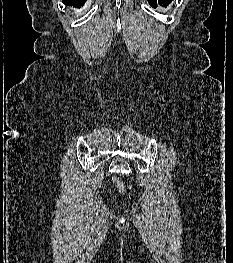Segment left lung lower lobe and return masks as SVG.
<instances>
[{
  "instance_id": "0a47b994",
  "label": "left lung lower lobe",
  "mask_w": 233,
  "mask_h": 263,
  "mask_svg": "<svg viewBox=\"0 0 233 263\" xmlns=\"http://www.w3.org/2000/svg\"><path fill=\"white\" fill-rule=\"evenodd\" d=\"M171 1L172 0H148L153 8L157 7V3L166 7Z\"/></svg>"
}]
</instances>
